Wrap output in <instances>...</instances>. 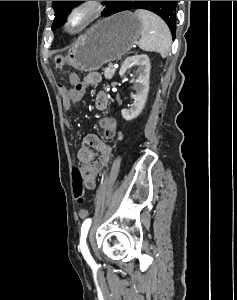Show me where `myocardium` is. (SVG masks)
I'll return each mask as SVG.
<instances>
[{
    "mask_svg": "<svg viewBox=\"0 0 237 300\" xmlns=\"http://www.w3.org/2000/svg\"><path fill=\"white\" fill-rule=\"evenodd\" d=\"M103 11L104 1H77L68 10L63 29L68 35H77L100 18Z\"/></svg>",
    "mask_w": 237,
    "mask_h": 300,
    "instance_id": "1",
    "label": "myocardium"
}]
</instances>
